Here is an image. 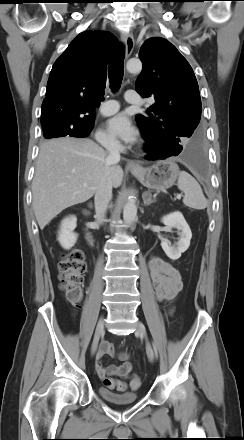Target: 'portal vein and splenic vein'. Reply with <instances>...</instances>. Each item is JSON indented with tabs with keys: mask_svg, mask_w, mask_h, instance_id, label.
Wrapping results in <instances>:
<instances>
[{
	"mask_svg": "<svg viewBox=\"0 0 244 440\" xmlns=\"http://www.w3.org/2000/svg\"><path fill=\"white\" fill-rule=\"evenodd\" d=\"M84 186L86 187L87 185L85 184ZM177 198H181V195H177Z\"/></svg>",
	"mask_w": 244,
	"mask_h": 440,
	"instance_id": "obj_1",
	"label": "portal vein and splenic vein"
}]
</instances>
